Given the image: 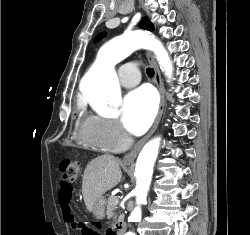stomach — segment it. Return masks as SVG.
<instances>
[{
  "mask_svg": "<svg viewBox=\"0 0 250 235\" xmlns=\"http://www.w3.org/2000/svg\"><path fill=\"white\" fill-rule=\"evenodd\" d=\"M105 206H106V198L104 196L99 197L93 206V215L97 219H103L105 217Z\"/></svg>",
  "mask_w": 250,
  "mask_h": 235,
  "instance_id": "1",
  "label": "stomach"
}]
</instances>
